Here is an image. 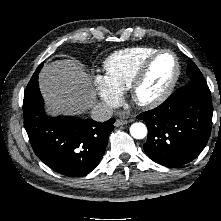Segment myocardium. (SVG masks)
Instances as JSON below:
<instances>
[{"label": "myocardium", "mask_w": 221, "mask_h": 221, "mask_svg": "<svg viewBox=\"0 0 221 221\" xmlns=\"http://www.w3.org/2000/svg\"><path fill=\"white\" fill-rule=\"evenodd\" d=\"M163 54H170L174 58L175 62V71L173 74L172 79L168 83V85L156 96L149 98V99H142L139 97L138 92L143 83L145 82L149 71L151 69V66L155 62V60L163 55ZM181 74V66L180 61L177 57V55L169 50V49H160L151 54L140 66L139 70L137 71L130 87H129V94L131 100L142 108H154L160 104H162L173 92L174 88L177 85V82L179 80Z\"/></svg>", "instance_id": "f54148a6"}]
</instances>
